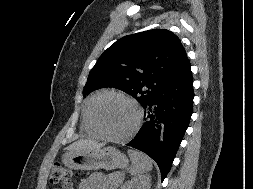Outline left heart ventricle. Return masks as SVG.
<instances>
[{"label":"left heart ventricle","mask_w":253,"mask_h":189,"mask_svg":"<svg viewBox=\"0 0 253 189\" xmlns=\"http://www.w3.org/2000/svg\"><path fill=\"white\" fill-rule=\"evenodd\" d=\"M96 113L102 127L115 136L128 133L136 121L134 108L117 97L103 98L97 105Z\"/></svg>","instance_id":"1"}]
</instances>
